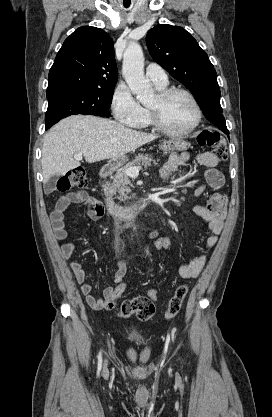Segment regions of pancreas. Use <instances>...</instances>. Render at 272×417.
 <instances>
[{"label":"pancreas","mask_w":272,"mask_h":417,"mask_svg":"<svg viewBox=\"0 0 272 417\" xmlns=\"http://www.w3.org/2000/svg\"><path fill=\"white\" fill-rule=\"evenodd\" d=\"M151 163L157 165L156 160H154L151 155L139 154L133 161L128 162L124 167L117 170L112 183L109 184V189L118 193L117 198L120 201L128 199V193L130 192V186H132V184L128 175L125 174V170L140 164L145 167L151 166Z\"/></svg>","instance_id":"cf45deb5"}]
</instances>
